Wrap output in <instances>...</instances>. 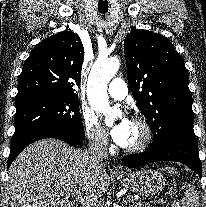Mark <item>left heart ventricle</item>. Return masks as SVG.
<instances>
[{
  "label": "left heart ventricle",
  "instance_id": "b2bd125f",
  "mask_svg": "<svg viewBox=\"0 0 206 207\" xmlns=\"http://www.w3.org/2000/svg\"><path fill=\"white\" fill-rule=\"evenodd\" d=\"M143 136V132L140 128V126L134 122L131 123V128H130V137L129 141L127 143L126 147H131L135 144H137Z\"/></svg>",
  "mask_w": 206,
  "mask_h": 207
}]
</instances>
